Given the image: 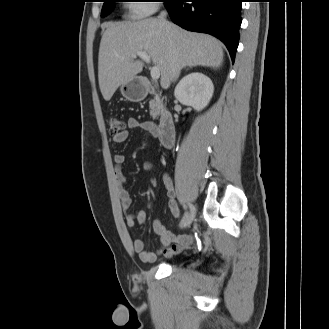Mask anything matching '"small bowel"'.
I'll return each mask as SVG.
<instances>
[{"mask_svg": "<svg viewBox=\"0 0 329 329\" xmlns=\"http://www.w3.org/2000/svg\"><path fill=\"white\" fill-rule=\"evenodd\" d=\"M128 129L118 135L113 136V142L116 144H123L129 137V130H141L146 131L156 136L158 134V127L152 121H140L134 117H130L127 121ZM115 179L118 189V196L121 202V206L124 211H128L132 204V197L130 192L126 189V176L123 170L125 164V156L123 154H116L114 156ZM146 170H153L154 164L151 162L145 163ZM163 183L169 195V210L173 217L179 216V207L174 199L173 183L167 174L163 175ZM126 223L129 227H134L137 223L143 224L146 221L147 214L144 210H139L136 213H126ZM153 231L159 237L160 245L156 251L152 252L146 250L145 243L141 239L133 241V250L139 255L142 262H153L159 255L172 256L186 249L192 242L191 235H175L165 228V226L159 221L153 222Z\"/></svg>", "mask_w": 329, "mask_h": 329, "instance_id": "obj_1", "label": "small bowel"}]
</instances>
